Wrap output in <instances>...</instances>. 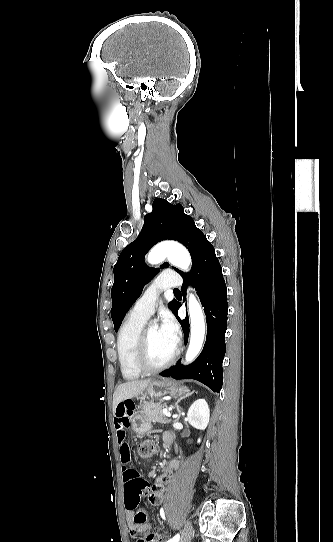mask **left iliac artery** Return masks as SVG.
I'll return each mask as SVG.
<instances>
[{
	"label": "left iliac artery",
	"instance_id": "left-iliac-artery-1",
	"mask_svg": "<svg viewBox=\"0 0 333 542\" xmlns=\"http://www.w3.org/2000/svg\"><path fill=\"white\" fill-rule=\"evenodd\" d=\"M160 514H161L162 518L165 519L163 509L160 510ZM179 538H180V536H179V534H177L176 536H174L172 539L168 540L167 542H178Z\"/></svg>",
	"mask_w": 333,
	"mask_h": 542
}]
</instances>
